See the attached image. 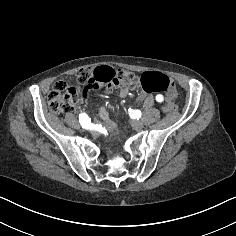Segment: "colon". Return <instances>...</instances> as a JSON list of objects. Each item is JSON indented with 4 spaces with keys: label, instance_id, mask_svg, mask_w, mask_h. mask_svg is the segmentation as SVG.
Listing matches in <instances>:
<instances>
[{
    "label": "colon",
    "instance_id": "obj_1",
    "mask_svg": "<svg viewBox=\"0 0 236 236\" xmlns=\"http://www.w3.org/2000/svg\"><path fill=\"white\" fill-rule=\"evenodd\" d=\"M138 80H140L145 94L167 92V101L163 111L165 113L176 111L175 85L166 75L145 72L138 78L132 72L108 66L80 69L77 74V82L82 87L81 89L63 81L56 82L48 95V106L53 114L67 113L74 108L79 98L87 100L97 92H105L118 86H130Z\"/></svg>",
    "mask_w": 236,
    "mask_h": 236
}]
</instances>
